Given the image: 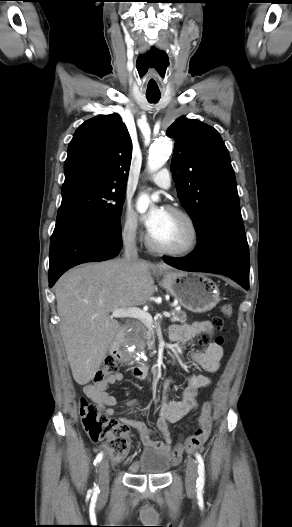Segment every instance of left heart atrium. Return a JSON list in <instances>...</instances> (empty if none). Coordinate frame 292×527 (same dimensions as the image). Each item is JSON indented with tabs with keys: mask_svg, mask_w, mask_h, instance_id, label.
Here are the masks:
<instances>
[{
	"mask_svg": "<svg viewBox=\"0 0 292 527\" xmlns=\"http://www.w3.org/2000/svg\"><path fill=\"white\" fill-rule=\"evenodd\" d=\"M164 210L163 209H153L147 214L143 216V222L148 229V231H152L156 228V226L159 224L162 216H163Z\"/></svg>",
	"mask_w": 292,
	"mask_h": 527,
	"instance_id": "left-heart-atrium-1",
	"label": "left heart atrium"
}]
</instances>
